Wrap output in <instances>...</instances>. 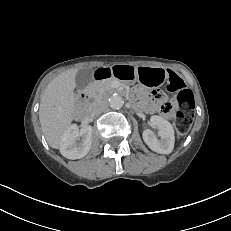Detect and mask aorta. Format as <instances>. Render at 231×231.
<instances>
[{"label":"aorta","mask_w":231,"mask_h":231,"mask_svg":"<svg viewBox=\"0 0 231 231\" xmlns=\"http://www.w3.org/2000/svg\"><path fill=\"white\" fill-rule=\"evenodd\" d=\"M109 104L112 109H120L123 106L124 101L120 95L116 94L109 98Z\"/></svg>","instance_id":"1"}]
</instances>
